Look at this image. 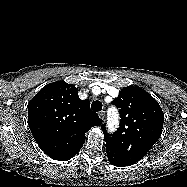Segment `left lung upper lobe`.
<instances>
[{"instance_id":"obj_1","label":"left lung upper lobe","mask_w":187,"mask_h":187,"mask_svg":"<svg viewBox=\"0 0 187 187\" xmlns=\"http://www.w3.org/2000/svg\"><path fill=\"white\" fill-rule=\"evenodd\" d=\"M119 108L120 127L113 133L101 126L106 149L134 163L142 159L159 139L164 122L158 102L137 85L122 89L114 100Z\"/></svg>"}]
</instances>
